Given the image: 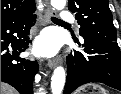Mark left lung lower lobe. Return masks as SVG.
Here are the masks:
<instances>
[{
	"label": "left lung lower lobe",
	"instance_id": "1",
	"mask_svg": "<svg viewBox=\"0 0 121 94\" xmlns=\"http://www.w3.org/2000/svg\"><path fill=\"white\" fill-rule=\"evenodd\" d=\"M85 54L74 51L67 58V80L63 94L79 86L100 82L121 91V53L117 42L84 37Z\"/></svg>",
	"mask_w": 121,
	"mask_h": 94
}]
</instances>
